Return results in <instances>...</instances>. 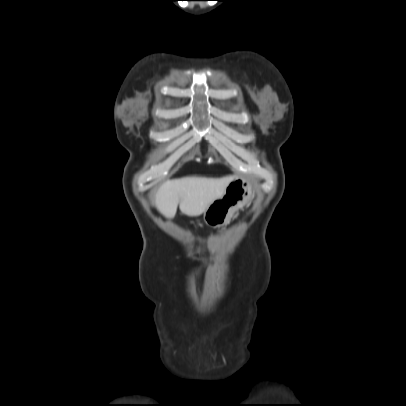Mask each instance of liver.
I'll use <instances>...</instances> for the list:
<instances>
[{
	"instance_id": "obj_1",
	"label": "liver",
	"mask_w": 406,
	"mask_h": 406,
	"mask_svg": "<svg viewBox=\"0 0 406 406\" xmlns=\"http://www.w3.org/2000/svg\"><path fill=\"white\" fill-rule=\"evenodd\" d=\"M235 176L222 178L185 177L163 182L154 195L158 210L173 218L177 207L188 216H198L215 200L221 198Z\"/></svg>"
}]
</instances>
